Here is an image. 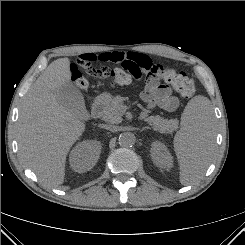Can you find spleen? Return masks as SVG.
I'll return each instance as SVG.
<instances>
[{
	"label": "spleen",
	"mask_w": 245,
	"mask_h": 245,
	"mask_svg": "<svg viewBox=\"0 0 245 245\" xmlns=\"http://www.w3.org/2000/svg\"><path fill=\"white\" fill-rule=\"evenodd\" d=\"M213 121L207 97L198 95L188 102L181 116V129L174 138L182 185L198 180L210 164L215 138Z\"/></svg>",
	"instance_id": "obj_1"
}]
</instances>
